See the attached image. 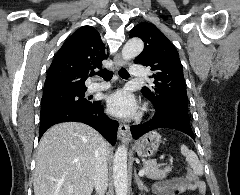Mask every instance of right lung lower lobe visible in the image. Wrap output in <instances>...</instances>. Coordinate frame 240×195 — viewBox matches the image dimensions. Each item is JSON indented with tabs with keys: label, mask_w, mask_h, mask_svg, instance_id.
<instances>
[{
	"label": "right lung lower lobe",
	"mask_w": 240,
	"mask_h": 195,
	"mask_svg": "<svg viewBox=\"0 0 240 195\" xmlns=\"http://www.w3.org/2000/svg\"><path fill=\"white\" fill-rule=\"evenodd\" d=\"M67 121L82 122L102 134L112 145L116 143L118 122L108 118L100 101L85 106H54L41 110L39 138L54 124Z\"/></svg>",
	"instance_id": "1"
}]
</instances>
